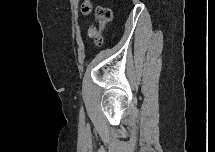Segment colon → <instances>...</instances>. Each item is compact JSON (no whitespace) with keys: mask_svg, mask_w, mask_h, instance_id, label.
<instances>
[{"mask_svg":"<svg viewBox=\"0 0 215 152\" xmlns=\"http://www.w3.org/2000/svg\"><path fill=\"white\" fill-rule=\"evenodd\" d=\"M92 11L93 8L89 1L82 2L81 12L83 15L88 16ZM94 12L98 21V25L90 29L89 35L95 44L100 45L103 42L102 30L104 26L111 20L112 12L109 8L104 6H97Z\"/></svg>","mask_w":215,"mask_h":152,"instance_id":"obj_1","label":"colon"}]
</instances>
